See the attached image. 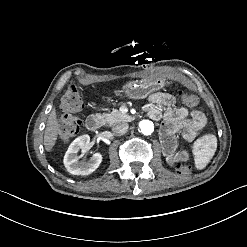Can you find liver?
Returning a JSON list of instances; mask_svg holds the SVG:
<instances>
[{
  "label": "liver",
  "mask_w": 247,
  "mask_h": 247,
  "mask_svg": "<svg viewBox=\"0 0 247 247\" xmlns=\"http://www.w3.org/2000/svg\"><path fill=\"white\" fill-rule=\"evenodd\" d=\"M59 119L57 117L56 107L53 106L47 119L44 131V148L46 152H51L58 139Z\"/></svg>",
  "instance_id": "6515ba94"
}]
</instances>
